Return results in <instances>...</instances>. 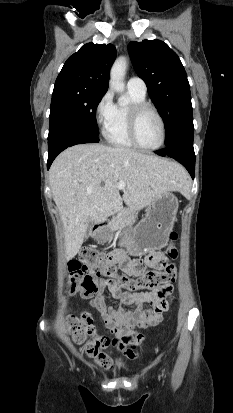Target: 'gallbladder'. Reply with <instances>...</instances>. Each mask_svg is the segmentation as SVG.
<instances>
[{
	"label": "gallbladder",
	"instance_id": "1",
	"mask_svg": "<svg viewBox=\"0 0 233 413\" xmlns=\"http://www.w3.org/2000/svg\"><path fill=\"white\" fill-rule=\"evenodd\" d=\"M90 235H91V230H90V226H88L87 231H86V234H85V238H86V239L89 238Z\"/></svg>",
	"mask_w": 233,
	"mask_h": 413
}]
</instances>
